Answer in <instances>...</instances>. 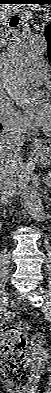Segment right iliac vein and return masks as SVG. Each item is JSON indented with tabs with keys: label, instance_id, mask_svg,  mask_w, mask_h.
I'll use <instances>...</instances> for the list:
<instances>
[{
	"label": "right iliac vein",
	"instance_id": "obj_1",
	"mask_svg": "<svg viewBox=\"0 0 51 393\" xmlns=\"http://www.w3.org/2000/svg\"><path fill=\"white\" fill-rule=\"evenodd\" d=\"M8 305V299H7V294L5 293L1 298H0V309L5 310Z\"/></svg>",
	"mask_w": 51,
	"mask_h": 393
}]
</instances>
